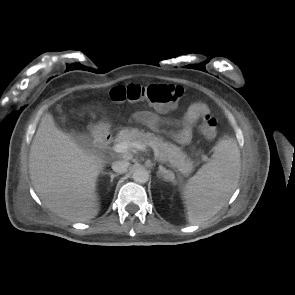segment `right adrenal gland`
I'll use <instances>...</instances> for the list:
<instances>
[{
    "label": "right adrenal gland",
    "mask_w": 295,
    "mask_h": 295,
    "mask_svg": "<svg viewBox=\"0 0 295 295\" xmlns=\"http://www.w3.org/2000/svg\"><path fill=\"white\" fill-rule=\"evenodd\" d=\"M105 174H107V175L110 176V182H111V183L113 182V179H114L115 177L119 176V174H114V173H112V172H108V173H105Z\"/></svg>",
    "instance_id": "obj_1"
}]
</instances>
